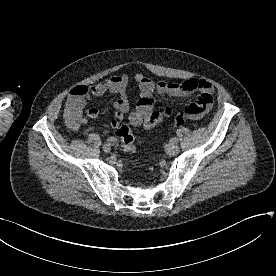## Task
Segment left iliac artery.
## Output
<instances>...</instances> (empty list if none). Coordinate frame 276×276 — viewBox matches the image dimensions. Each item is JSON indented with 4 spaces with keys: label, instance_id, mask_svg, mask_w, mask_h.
I'll return each instance as SVG.
<instances>
[{
    "label": "left iliac artery",
    "instance_id": "obj_1",
    "mask_svg": "<svg viewBox=\"0 0 276 276\" xmlns=\"http://www.w3.org/2000/svg\"><path fill=\"white\" fill-rule=\"evenodd\" d=\"M178 144V139L176 137H173L170 139V145Z\"/></svg>",
    "mask_w": 276,
    "mask_h": 276
}]
</instances>
